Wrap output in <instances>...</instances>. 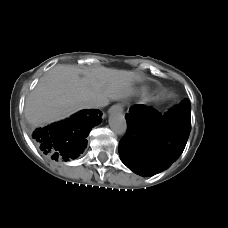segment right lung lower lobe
Wrapping results in <instances>:
<instances>
[{
	"label": "right lung lower lobe",
	"mask_w": 228,
	"mask_h": 228,
	"mask_svg": "<svg viewBox=\"0 0 228 228\" xmlns=\"http://www.w3.org/2000/svg\"><path fill=\"white\" fill-rule=\"evenodd\" d=\"M100 110H82L70 118L36 129L31 136L40 149L54 160L77 158L86 148L90 130L101 122Z\"/></svg>",
	"instance_id": "right-lung-lower-lobe-1"
}]
</instances>
